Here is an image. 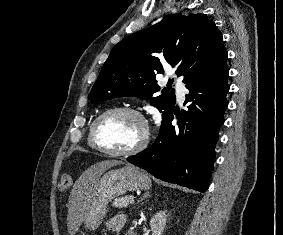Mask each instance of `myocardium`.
<instances>
[{"mask_svg": "<svg viewBox=\"0 0 283 235\" xmlns=\"http://www.w3.org/2000/svg\"><path fill=\"white\" fill-rule=\"evenodd\" d=\"M116 113L132 114L135 117H137L143 125V134H142L141 139L139 140V142L135 146H133L130 149L121 150V151H114V150H110V149L105 148L98 141L97 129H98L99 124L102 122L103 119H105L109 115L116 114ZM90 141H91L92 146L96 150L100 151L103 154L113 156V157L133 156V155H136V154L140 153L141 151H143L149 144L150 130H149L148 122H147L145 116L136 108L128 107V106L112 107V108H109V109L103 111L101 114H99L94 119V121H93V123L90 127Z\"/></svg>", "mask_w": 283, "mask_h": 235, "instance_id": "myocardium-1", "label": "myocardium"}]
</instances>
